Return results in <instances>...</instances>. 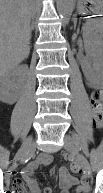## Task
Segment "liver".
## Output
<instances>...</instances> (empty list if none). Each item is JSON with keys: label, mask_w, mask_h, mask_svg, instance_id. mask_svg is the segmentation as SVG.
I'll return each instance as SVG.
<instances>
[{"label": "liver", "mask_w": 103, "mask_h": 193, "mask_svg": "<svg viewBox=\"0 0 103 193\" xmlns=\"http://www.w3.org/2000/svg\"><path fill=\"white\" fill-rule=\"evenodd\" d=\"M34 0H1L0 71L17 67L30 53L29 34Z\"/></svg>", "instance_id": "liver-1"}]
</instances>
